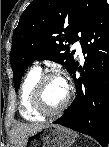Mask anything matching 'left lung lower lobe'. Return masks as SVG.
Here are the masks:
<instances>
[{
	"instance_id": "0a47b994",
	"label": "left lung lower lobe",
	"mask_w": 109,
	"mask_h": 147,
	"mask_svg": "<svg viewBox=\"0 0 109 147\" xmlns=\"http://www.w3.org/2000/svg\"><path fill=\"white\" fill-rule=\"evenodd\" d=\"M80 43L85 57L84 69L77 62L71 73L76 96L55 124L89 135L102 146L109 142V5L106 2L84 31ZM81 72V77L76 72ZM102 75L103 84L95 93L87 87L92 72Z\"/></svg>"
}]
</instances>
